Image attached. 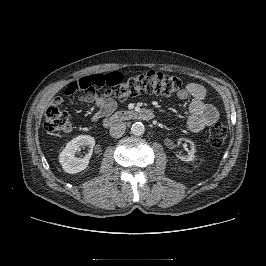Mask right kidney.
<instances>
[{
	"label": "right kidney",
	"mask_w": 266,
	"mask_h": 266,
	"mask_svg": "<svg viewBox=\"0 0 266 266\" xmlns=\"http://www.w3.org/2000/svg\"><path fill=\"white\" fill-rule=\"evenodd\" d=\"M80 146H87L89 152L83 158L76 157ZM95 146V139L89 135H79L70 140L60 153L59 162L65 172L75 174L86 169Z\"/></svg>",
	"instance_id": "obj_1"
}]
</instances>
